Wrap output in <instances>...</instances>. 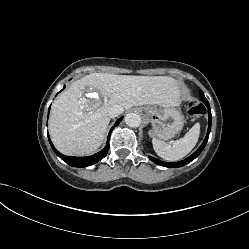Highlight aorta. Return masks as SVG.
<instances>
[{
    "mask_svg": "<svg viewBox=\"0 0 249 249\" xmlns=\"http://www.w3.org/2000/svg\"><path fill=\"white\" fill-rule=\"evenodd\" d=\"M125 123L130 127H138L141 124V117L137 113H128L125 116Z\"/></svg>",
    "mask_w": 249,
    "mask_h": 249,
    "instance_id": "aorta-1",
    "label": "aorta"
}]
</instances>
